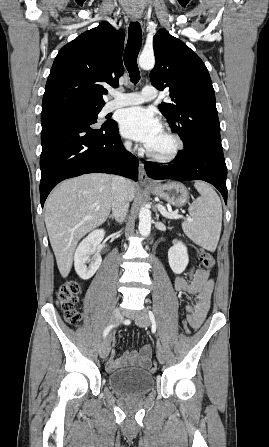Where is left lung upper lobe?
Instances as JSON below:
<instances>
[{"instance_id": "1", "label": "left lung upper lobe", "mask_w": 269, "mask_h": 447, "mask_svg": "<svg viewBox=\"0 0 269 447\" xmlns=\"http://www.w3.org/2000/svg\"><path fill=\"white\" fill-rule=\"evenodd\" d=\"M156 65L150 80L159 90L169 89L173 103L159 110L189 153L205 143L221 145L215 93L203 61L181 40L159 30L153 38Z\"/></svg>"}]
</instances>
